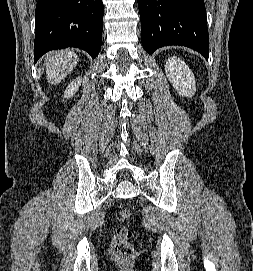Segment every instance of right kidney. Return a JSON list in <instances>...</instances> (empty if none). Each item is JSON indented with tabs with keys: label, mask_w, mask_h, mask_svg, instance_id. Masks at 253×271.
<instances>
[{
	"label": "right kidney",
	"mask_w": 253,
	"mask_h": 271,
	"mask_svg": "<svg viewBox=\"0 0 253 271\" xmlns=\"http://www.w3.org/2000/svg\"><path fill=\"white\" fill-rule=\"evenodd\" d=\"M81 85V78L78 77L74 79L64 91V98L69 99L75 95L78 91L79 86Z\"/></svg>",
	"instance_id": "obj_1"
}]
</instances>
